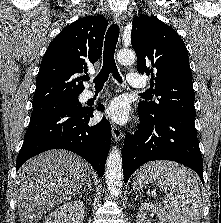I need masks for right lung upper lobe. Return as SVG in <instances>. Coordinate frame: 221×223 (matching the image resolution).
Segmentation results:
<instances>
[{
	"label": "right lung upper lobe",
	"mask_w": 221,
	"mask_h": 223,
	"mask_svg": "<svg viewBox=\"0 0 221 223\" xmlns=\"http://www.w3.org/2000/svg\"><path fill=\"white\" fill-rule=\"evenodd\" d=\"M107 26L102 16H86L55 37L40 65L33 104L77 97L83 91L78 74L100 58Z\"/></svg>",
	"instance_id": "1"
}]
</instances>
